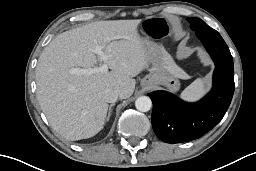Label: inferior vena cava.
<instances>
[{
	"label": "inferior vena cava",
	"mask_w": 256,
	"mask_h": 171,
	"mask_svg": "<svg viewBox=\"0 0 256 171\" xmlns=\"http://www.w3.org/2000/svg\"><path fill=\"white\" fill-rule=\"evenodd\" d=\"M119 97L117 90L107 88L103 92V98L107 103H114Z\"/></svg>",
	"instance_id": "1"
}]
</instances>
